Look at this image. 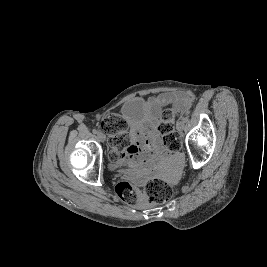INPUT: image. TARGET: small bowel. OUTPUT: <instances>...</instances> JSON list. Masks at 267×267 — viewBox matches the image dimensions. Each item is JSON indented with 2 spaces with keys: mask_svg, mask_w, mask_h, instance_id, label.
Returning <instances> with one entry per match:
<instances>
[{
  "mask_svg": "<svg viewBox=\"0 0 267 267\" xmlns=\"http://www.w3.org/2000/svg\"><path fill=\"white\" fill-rule=\"evenodd\" d=\"M191 95L187 93H164L151 97L147 102L148 116L145 120L131 124L132 140L129 162L119 174L128 181L142 182L149 174L157 173L166 165L177 164L178 159L171 156L160 145L155 125L163 106L173 105L179 111L190 107Z\"/></svg>",
  "mask_w": 267,
  "mask_h": 267,
  "instance_id": "1",
  "label": "small bowel"
}]
</instances>
